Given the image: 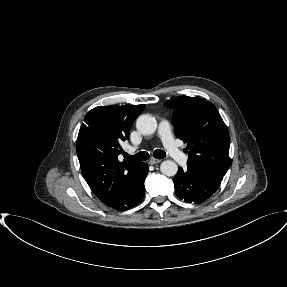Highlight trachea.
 I'll return each instance as SVG.
<instances>
[{
    "label": "trachea",
    "instance_id": "obj_1",
    "mask_svg": "<svg viewBox=\"0 0 287 287\" xmlns=\"http://www.w3.org/2000/svg\"><path fill=\"white\" fill-rule=\"evenodd\" d=\"M153 155L157 159H163V158H165L166 153L163 150L156 149L154 151ZM124 157H125L126 161H136V162L145 161V160H148L150 158L149 154L147 152H144V151H141L134 156H131V155L125 153Z\"/></svg>",
    "mask_w": 287,
    "mask_h": 287
}]
</instances>
